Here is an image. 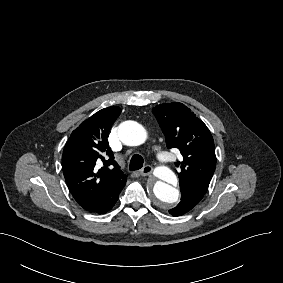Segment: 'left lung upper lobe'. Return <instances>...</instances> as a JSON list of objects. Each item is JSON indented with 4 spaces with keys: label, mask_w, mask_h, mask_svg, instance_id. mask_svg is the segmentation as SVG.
<instances>
[{
    "label": "left lung upper lobe",
    "mask_w": 283,
    "mask_h": 283,
    "mask_svg": "<svg viewBox=\"0 0 283 283\" xmlns=\"http://www.w3.org/2000/svg\"><path fill=\"white\" fill-rule=\"evenodd\" d=\"M152 112L167 147L178 148L183 156L178 174L180 188L192 187L206 193L216 167L214 141L207 126L179 102L160 104ZM179 164L175 163L177 167Z\"/></svg>",
    "instance_id": "obj_1"
}]
</instances>
